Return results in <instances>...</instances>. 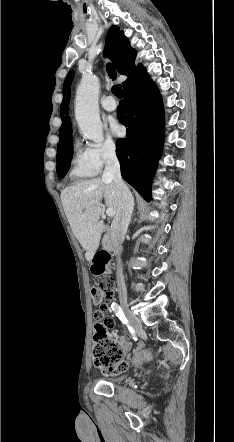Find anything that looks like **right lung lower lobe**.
<instances>
[{
  "instance_id": "1",
  "label": "right lung lower lobe",
  "mask_w": 234,
  "mask_h": 442,
  "mask_svg": "<svg viewBox=\"0 0 234 442\" xmlns=\"http://www.w3.org/2000/svg\"><path fill=\"white\" fill-rule=\"evenodd\" d=\"M117 108L127 135L116 142L123 179L147 201L164 142V109L161 95L146 70L123 86Z\"/></svg>"
}]
</instances>
